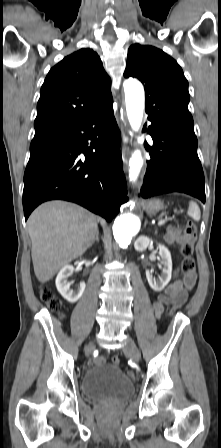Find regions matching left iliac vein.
Listing matches in <instances>:
<instances>
[{"instance_id":"1","label":"left iliac vein","mask_w":221,"mask_h":448,"mask_svg":"<svg viewBox=\"0 0 221 448\" xmlns=\"http://www.w3.org/2000/svg\"><path fill=\"white\" fill-rule=\"evenodd\" d=\"M123 351L128 353L135 362L140 361V351L132 340H127L126 344L123 346Z\"/></svg>"}]
</instances>
